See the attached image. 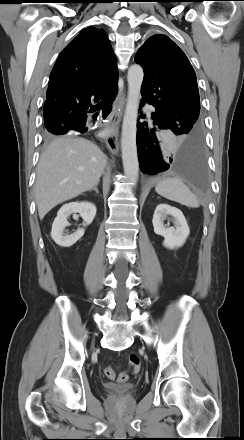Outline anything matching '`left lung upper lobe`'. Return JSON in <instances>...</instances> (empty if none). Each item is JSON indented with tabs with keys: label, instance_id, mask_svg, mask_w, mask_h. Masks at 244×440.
I'll use <instances>...</instances> for the list:
<instances>
[{
	"label": "left lung upper lobe",
	"instance_id": "5c2ea615",
	"mask_svg": "<svg viewBox=\"0 0 244 440\" xmlns=\"http://www.w3.org/2000/svg\"><path fill=\"white\" fill-rule=\"evenodd\" d=\"M135 62L144 69L143 101L176 135L202 132L196 74L184 52L166 35L151 36L141 46Z\"/></svg>",
	"mask_w": 244,
	"mask_h": 440
}]
</instances>
